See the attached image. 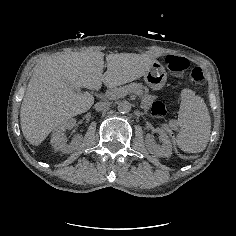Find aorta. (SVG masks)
<instances>
[{"label": "aorta", "instance_id": "obj_1", "mask_svg": "<svg viewBox=\"0 0 236 236\" xmlns=\"http://www.w3.org/2000/svg\"><path fill=\"white\" fill-rule=\"evenodd\" d=\"M117 108H118V111L122 114L128 113L131 110V104L130 102L124 100V101L119 102Z\"/></svg>", "mask_w": 236, "mask_h": 236}]
</instances>
